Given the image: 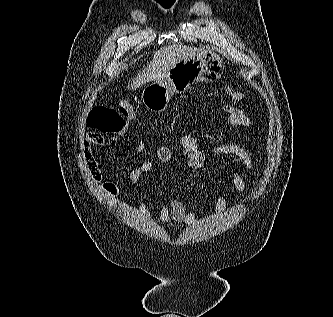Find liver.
Returning a JSON list of instances; mask_svg holds the SVG:
<instances>
[{
  "label": "liver",
  "instance_id": "1",
  "mask_svg": "<svg viewBox=\"0 0 333 317\" xmlns=\"http://www.w3.org/2000/svg\"><path fill=\"white\" fill-rule=\"evenodd\" d=\"M200 53L199 49L183 44L163 47L154 53L152 61L142 73L133 79L129 88L134 90L143 85V83L163 79L177 63L195 57Z\"/></svg>",
  "mask_w": 333,
  "mask_h": 317
}]
</instances>
